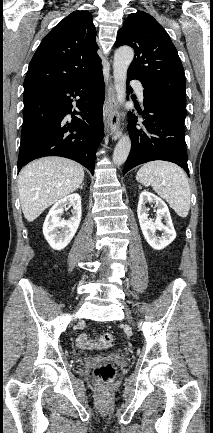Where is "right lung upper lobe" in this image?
Segmentation results:
<instances>
[{"instance_id": "obj_1", "label": "right lung upper lobe", "mask_w": 213, "mask_h": 433, "mask_svg": "<svg viewBox=\"0 0 213 433\" xmlns=\"http://www.w3.org/2000/svg\"><path fill=\"white\" fill-rule=\"evenodd\" d=\"M88 11H74L42 40L30 61L24 87H64L101 69L96 30Z\"/></svg>"}]
</instances>
